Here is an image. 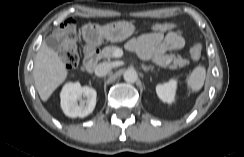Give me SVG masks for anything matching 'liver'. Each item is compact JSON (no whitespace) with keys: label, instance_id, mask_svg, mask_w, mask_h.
<instances>
[{"label":"liver","instance_id":"liver-1","mask_svg":"<svg viewBox=\"0 0 244 157\" xmlns=\"http://www.w3.org/2000/svg\"><path fill=\"white\" fill-rule=\"evenodd\" d=\"M67 75L68 70L62 58L43 42L36 54L33 68L35 88L42 101L46 102L50 98Z\"/></svg>","mask_w":244,"mask_h":157}]
</instances>
